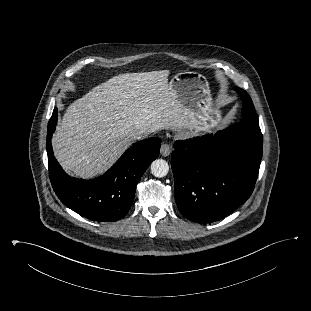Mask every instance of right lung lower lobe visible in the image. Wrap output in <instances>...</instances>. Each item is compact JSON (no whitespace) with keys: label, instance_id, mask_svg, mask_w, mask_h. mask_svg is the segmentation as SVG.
<instances>
[{"label":"right lung lower lobe","instance_id":"98d812e1","mask_svg":"<svg viewBox=\"0 0 311 311\" xmlns=\"http://www.w3.org/2000/svg\"><path fill=\"white\" fill-rule=\"evenodd\" d=\"M57 114L54 108L46 140L49 177L56 195L65 206L90 220H120L132 205L137 182L158 157L161 139L154 137L137 142L99 178L76 179L63 171L53 154L51 138Z\"/></svg>","mask_w":311,"mask_h":311}]
</instances>
